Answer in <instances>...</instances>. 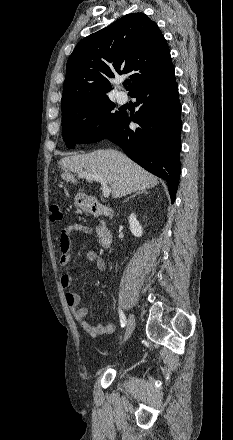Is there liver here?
<instances>
[{
    "label": "liver",
    "mask_w": 233,
    "mask_h": 440,
    "mask_svg": "<svg viewBox=\"0 0 233 440\" xmlns=\"http://www.w3.org/2000/svg\"><path fill=\"white\" fill-rule=\"evenodd\" d=\"M59 164L64 170L61 178L67 182L77 183L72 173L103 176L110 185L113 198L152 188L159 183L157 177L115 149L64 157Z\"/></svg>",
    "instance_id": "6515ba94"
}]
</instances>
